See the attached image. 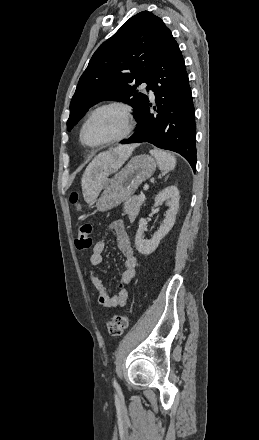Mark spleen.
<instances>
[{
  "mask_svg": "<svg viewBox=\"0 0 259 440\" xmlns=\"http://www.w3.org/2000/svg\"><path fill=\"white\" fill-rule=\"evenodd\" d=\"M150 154L155 157L159 169L164 173H168L175 168L176 159L172 154L160 149H152Z\"/></svg>",
  "mask_w": 259,
  "mask_h": 440,
  "instance_id": "obj_1",
  "label": "spleen"
}]
</instances>
